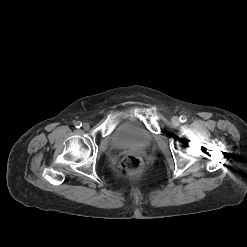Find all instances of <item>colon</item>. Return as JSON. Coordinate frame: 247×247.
<instances>
[{"label":"colon","mask_w":247,"mask_h":247,"mask_svg":"<svg viewBox=\"0 0 247 247\" xmlns=\"http://www.w3.org/2000/svg\"><path fill=\"white\" fill-rule=\"evenodd\" d=\"M141 168L142 160L136 155L125 156L121 162V171L125 175L137 173Z\"/></svg>","instance_id":"5ec220e1"}]
</instances>
